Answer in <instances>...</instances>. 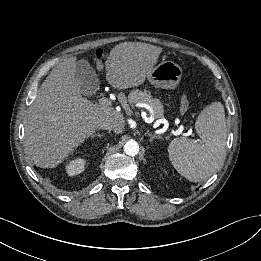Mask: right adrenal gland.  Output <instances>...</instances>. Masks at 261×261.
<instances>
[{
  "label": "right adrenal gland",
  "mask_w": 261,
  "mask_h": 261,
  "mask_svg": "<svg viewBox=\"0 0 261 261\" xmlns=\"http://www.w3.org/2000/svg\"><path fill=\"white\" fill-rule=\"evenodd\" d=\"M103 136H104V134H94L91 137L94 138V137H103Z\"/></svg>",
  "instance_id": "right-adrenal-gland-1"
}]
</instances>
